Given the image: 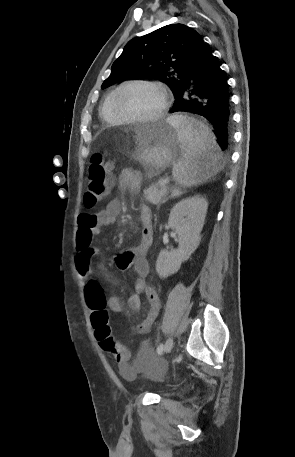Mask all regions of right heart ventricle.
I'll use <instances>...</instances> for the list:
<instances>
[{
	"instance_id": "e07e8e85",
	"label": "right heart ventricle",
	"mask_w": 295,
	"mask_h": 457,
	"mask_svg": "<svg viewBox=\"0 0 295 457\" xmlns=\"http://www.w3.org/2000/svg\"><path fill=\"white\" fill-rule=\"evenodd\" d=\"M116 89L110 91L105 99L102 102L101 108H100V114L101 117L105 122L111 125H119L125 122L123 119H121L113 110V96L115 93Z\"/></svg>"
}]
</instances>
